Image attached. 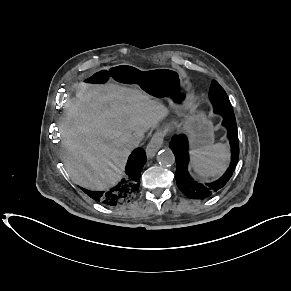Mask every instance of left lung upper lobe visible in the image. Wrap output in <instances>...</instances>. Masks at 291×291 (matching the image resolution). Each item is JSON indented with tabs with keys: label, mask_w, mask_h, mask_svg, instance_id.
Listing matches in <instances>:
<instances>
[{
	"label": "left lung upper lobe",
	"mask_w": 291,
	"mask_h": 291,
	"mask_svg": "<svg viewBox=\"0 0 291 291\" xmlns=\"http://www.w3.org/2000/svg\"><path fill=\"white\" fill-rule=\"evenodd\" d=\"M210 100L212 103H215L214 112L217 111L221 107H225L227 109H232L231 103L229 101V98L224 91V89L219 85L217 81L212 82L211 90H210ZM216 100H219L221 102L220 106L216 105Z\"/></svg>",
	"instance_id": "5c2ea615"
}]
</instances>
